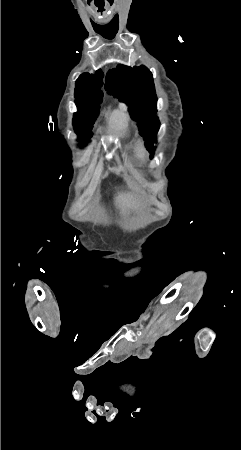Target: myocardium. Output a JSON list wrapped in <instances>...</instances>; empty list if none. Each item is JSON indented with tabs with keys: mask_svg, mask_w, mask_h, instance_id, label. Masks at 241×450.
I'll use <instances>...</instances> for the list:
<instances>
[{
	"mask_svg": "<svg viewBox=\"0 0 241 450\" xmlns=\"http://www.w3.org/2000/svg\"><path fill=\"white\" fill-rule=\"evenodd\" d=\"M141 143V142H140ZM135 147V146H134ZM139 149H147L148 148V145L147 144H139L138 146H137ZM140 151V150H139ZM143 154L141 153V152H137L136 153V156L137 157H141ZM150 161V158L149 157H142V162H149Z\"/></svg>",
	"mask_w": 241,
	"mask_h": 450,
	"instance_id": "f54148a6",
	"label": "myocardium"
}]
</instances>
